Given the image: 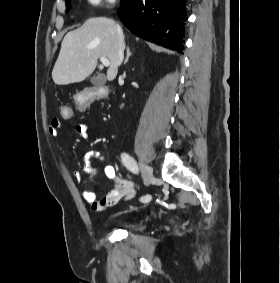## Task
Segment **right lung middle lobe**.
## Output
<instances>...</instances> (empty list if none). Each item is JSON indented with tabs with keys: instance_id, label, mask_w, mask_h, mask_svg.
<instances>
[{
	"instance_id": "obj_1",
	"label": "right lung middle lobe",
	"mask_w": 280,
	"mask_h": 283,
	"mask_svg": "<svg viewBox=\"0 0 280 283\" xmlns=\"http://www.w3.org/2000/svg\"><path fill=\"white\" fill-rule=\"evenodd\" d=\"M65 1H66V12H68L69 9H70V2H71V0H65ZM122 2H124V0H121V3Z\"/></svg>"
}]
</instances>
